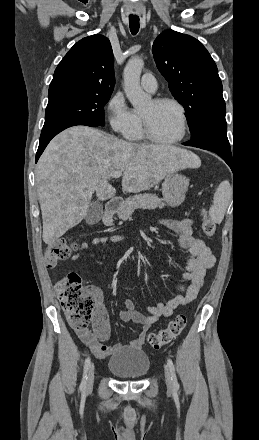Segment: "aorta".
<instances>
[{
    "mask_svg": "<svg viewBox=\"0 0 259 440\" xmlns=\"http://www.w3.org/2000/svg\"><path fill=\"white\" fill-rule=\"evenodd\" d=\"M144 61L138 57H132L123 72L124 77V91L135 109H143L151 102V96L146 94L140 86V75Z\"/></svg>",
    "mask_w": 259,
    "mask_h": 440,
    "instance_id": "aorta-1",
    "label": "aorta"
}]
</instances>
